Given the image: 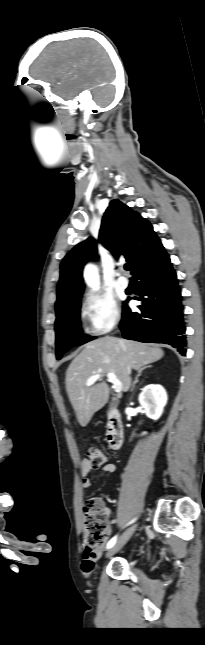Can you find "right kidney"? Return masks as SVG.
Returning <instances> with one entry per match:
<instances>
[{
  "mask_svg": "<svg viewBox=\"0 0 205 645\" xmlns=\"http://www.w3.org/2000/svg\"><path fill=\"white\" fill-rule=\"evenodd\" d=\"M167 393L161 385H147L139 395V403L147 417L157 420L167 403Z\"/></svg>",
  "mask_w": 205,
  "mask_h": 645,
  "instance_id": "1",
  "label": "right kidney"
}]
</instances>
